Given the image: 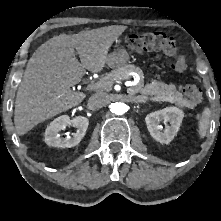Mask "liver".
<instances>
[{"instance_id": "obj_1", "label": "liver", "mask_w": 221, "mask_h": 221, "mask_svg": "<svg viewBox=\"0 0 221 221\" xmlns=\"http://www.w3.org/2000/svg\"><path fill=\"white\" fill-rule=\"evenodd\" d=\"M123 31L124 26H108L58 35L42 44L30 59L17 91V133L22 136L37 124L80 104L86 95L72 91L71 87L81 81L86 70H103L109 48Z\"/></svg>"}]
</instances>
